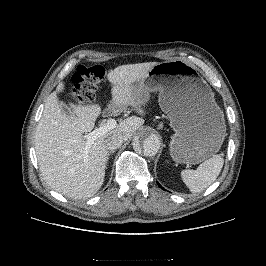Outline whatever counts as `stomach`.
<instances>
[{
	"mask_svg": "<svg viewBox=\"0 0 266 266\" xmlns=\"http://www.w3.org/2000/svg\"><path fill=\"white\" fill-rule=\"evenodd\" d=\"M156 91L175 132L170 153L176 163L198 164L219 151L226 135L224 115L194 66L182 60L157 63L132 95L144 103Z\"/></svg>",
	"mask_w": 266,
	"mask_h": 266,
	"instance_id": "obj_1",
	"label": "stomach"
}]
</instances>
